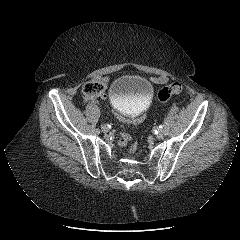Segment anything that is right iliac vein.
<instances>
[{
    "mask_svg": "<svg viewBox=\"0 0 240 240\" xmlns=\"http://www.w3.org/2000/svg\"><path fill=\"white\" fill-rule=\"evenodd\" d=\"M102 131H103L104 133H107V132H108V127H107L106 125H103V126H102Z\"/></svg>",
    "mask_w": 240,
    "mask_h": 240,
    "instance_id": "obj_1",
    "label": "right iliac vein"
}]
</instances>
